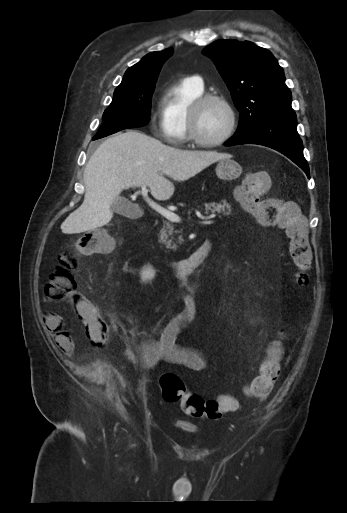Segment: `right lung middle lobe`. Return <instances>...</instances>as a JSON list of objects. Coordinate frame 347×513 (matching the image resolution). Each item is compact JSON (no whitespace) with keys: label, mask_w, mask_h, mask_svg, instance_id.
Returning a JSON list of instances; mask_svg holds the SVG:
<instances>
[{"label":"right lung middle lobe","mask_w":347,"mask_h":513,"mask_svg":"<svg viewBox=\"0 0 347 513\" xmlns=\"http://www.w3.org/2000/svg\"><path fill=\"white\" fill-rule=\"evenodd\" d=\"M155 83L144 87L116 88L114 98L103 114L102 125L94 140L123 129L146 125L150 120Z\"/></svg>","instance_id":"right-lung-middle-lobe-1"}]
</instances>
